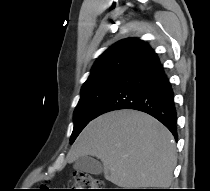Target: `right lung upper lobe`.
I'll return each instance as SVG.
<instances>
[{
    "mask_svg": "<svg viewBox=\"0 0 210 191\" xmlns=\"http://www.w3.org/2000/svg\"><path fill=\"white\" fill-rule=\"evenodd\" d=\"M143 44L144 41L137 38H128L118 41L98 57L92 70L118 56L127 55L132 57Z\"/></svg>",
    "mask_w": 210,
    "mask_h": 191,
    "instance_id": "1",
    "label": "right lung upper lobe"
}]
</instances>
